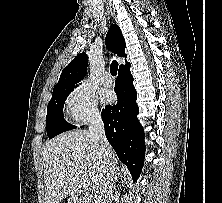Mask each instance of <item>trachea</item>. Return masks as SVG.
Wrapping results in <instances>:
<instances>
[{
	"label": "trachea",
	"instance_id": "1",
	"mask_svg": "<svg viewBox=\"0 0 222 203\" xmlns=\"http://www.w3.org/2000/svg\"><path fill=\"white\" fill-rule=\"evenodd\" d=\"M118 70V63L116 61H112L110 65V73L112 76H116Z\"/></svg>",
	"mask_w": 222,
	"mask_h": 203
}]
</instances>
